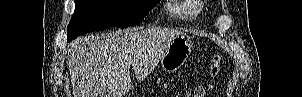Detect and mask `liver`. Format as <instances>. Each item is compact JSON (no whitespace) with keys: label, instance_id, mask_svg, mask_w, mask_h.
Listing matches in <instances>:
<instances>
[{"label":"liver","instance_id":"6515ba94","mask_svg":"<svg viewBox=\"0 0 302 97\" xmlns=\"http://www.w3.org/2000/svg\"><path fill=\"white\" fill-rule=\"evenodd\" d=\"M181 31L128 29L75 40L68 50L74 97H123L131 88L130 67L145 77Z\"/></svg>","mask_w":302,"mask_h":97}]
</instances>
